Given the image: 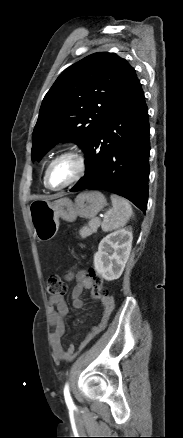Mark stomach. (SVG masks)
Listing matches in <instances>:
<instances>
[{"label": "stomach", "instance_id": "obj_1", "mask_svg": "<svg viewBox=\"0 0 183 438\" xmlns=\"http://www.w3.org/2000/svg\"><path fill=\"white\" fill-rule=\"evenodd\" d=\"M106 205L104 195L97 191L80 193L73 203L69 198H60L53 202L36 199L29 205L30 221L35 237L42 242L54 238L59 229V219L73 222L77 216L95 217Z\"/></svg>", "mask_w": 183, "mask_h": 438}]
</instances>
